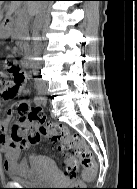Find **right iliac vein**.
<instances>
[{
	"instance_id": "63e3f726",
	"label": "right iliac vein",
	"mask_w": 137,
	"mask_h": 189,
	"mask_svg": "<svg viewBox=\"0 0 137 189\" xmlns=\"http://www.w3.org/2000/svg\"><path fill=\"white\" fill-rule=\"evenodd\" d=\"M40 93H41L42 95H45V94L47 93V90H41Z\"/></svg>"
}]
</instances>
